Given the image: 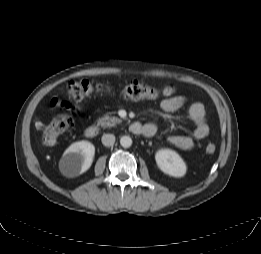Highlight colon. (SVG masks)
<instances>
[{"mask_svg": "<svg viewBox=\"0 0 261 254\" xmlns=\"http://www.w3.org/2000/svg\"><path fill=\"white\" fill-rule=\"evenodd\" d=\"M113 87L104 83H91L86 79L72 81L66 87L64 94L65 102L59 103V106L69 105L71 103L80 102L94 93L111 92ZM175 90L171 86H165L161 89L143 84L138 81H132L126 84L122 89V95L127 99L139 100L149 99L155 100L159 98H168L173 96ZM53 105L58 106L57 100H53ZM74 125V119L69 114L56 116L48 125L42 127V136L45 143H53L58 136L70 130ZM207 154L216 152V146L213 143H208L205 146Z\"/></svg>", "mask_w": 261, "mask_h": 254, "instance_id": "1", "label": "colon"}]
</instances>
